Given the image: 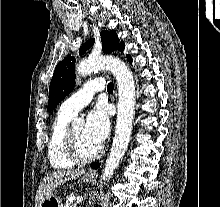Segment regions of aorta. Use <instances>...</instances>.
Here are the masks:
<instances>
[{
	"instance_id": "aorta-1",
	"label": "aorta",
	"mask_w": 220,
	"mask_h": 207,
	"mask_svg": "<svg viewBox=\"0 0 220 207\" xmlns=\"http://www.w3.org/2000/svg\"><path fill=\"white\" fill-rule=\"evenodd\" d=\"M99 70L112 72L116 77L119 93L115 136L101 177V184L105 185L119 166L130 142L134 119L135 82L127 65L119 58L112 56L89 57L79 63L76 73L79 76H87ZM75 122L83 123L84 121L79 118Z\"/></svg>"
}]
</instances>
